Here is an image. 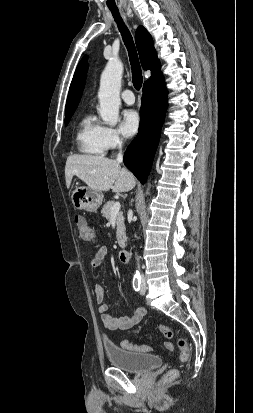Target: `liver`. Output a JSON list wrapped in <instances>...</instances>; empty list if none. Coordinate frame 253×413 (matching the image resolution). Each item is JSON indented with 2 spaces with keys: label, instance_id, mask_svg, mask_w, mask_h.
I'll return each mask as SVG.
<instances>
[{
  "label": "liver",
  "instance_id": "6515ba94",
  "mask_svg": "<svg viewBox=\"0 0 253 413\" xmlns=\"http://www.w3.org/2000/svg\"><path fill=\"white\" fill-rule=\"evenodd\" d=\"M74 175L85 182L88 187L100 192L110 189L115 193L127 192L136 184L131 172L121 168L117 161L103 156H69L65 166L67 188L70 187Z\"/></svg>",
  "mask_w": 253,
  "mask_h": 413
}]
</instances>
